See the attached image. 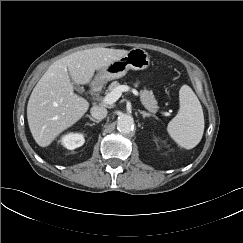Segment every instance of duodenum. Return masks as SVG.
Here are the masks:
<instances>
[{
    "instance_id": "1",
    "label": "duodenum",
    "mask_w": 243,
    "mask_h": 243,
    "mask_svg": "<svg viewBox=\"0 0 243 243\" xmlns=\"http://www.w3.org/2000/svg\"><path fill=\"white\" fill-rule=\"evenodd\" d=\"M92 90H93L94 92H96V91H97V88H96V87H92Z\"/></svg>"
}]
</instances>
